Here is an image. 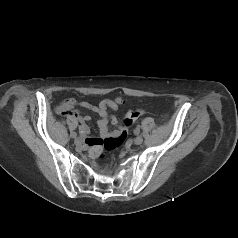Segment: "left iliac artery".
I'll use <instances>...</instances> for the list:
<instances>
[{
	"mask_svg": "<svg viewBox=\"0 0 238 238\" xmlns=\"http://www.w3.org/2000/svg\"><path fill=\"white\" fill-rule=\"evenodd\" d=\"M142 135H143V138H144V139H148V138H149V135H148V131H147V130H144V131L142 132Z\"/></svg>",
	"mask_w": 238,
	"mask_h": 238,
	"instance_id": "obj_1",
	"label": "left iliac artery"
}]
</instances>
